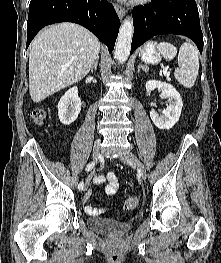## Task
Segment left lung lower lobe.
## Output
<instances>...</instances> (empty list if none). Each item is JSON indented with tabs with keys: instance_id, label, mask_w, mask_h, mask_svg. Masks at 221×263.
I'll return each mask as SVG.
<instances>
[{
	"instance_id": "obj_1",
	"label": "left lung lower lobe",
	"mask_w": 221,
	"mask_h": 263,
	"mask_svg": "<svg viewBox=\"0 0 221 263\" xmlns=\"http://www.w3.org/2000/svg\"><path fill=\"white\" fill-rule=\"evenodd\" d=\"M134 35L131 52L155 35L178 34L192 39L200 53L203 34L195 0H152L133 9Z\"/></svg>"
}]
</instances>
